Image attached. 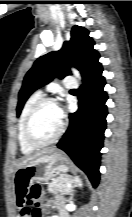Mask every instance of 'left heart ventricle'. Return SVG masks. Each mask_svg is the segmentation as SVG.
<instances>
[{
	"instance_id": "b2bd125f",
	"label": "left heart ventricle",
	"mask_w": 132,
	"mask_h": 217,
	"mask_svg": "<svg viewBox=\"0 0 132 217\" xmlns=\"http://www.w3.org/2000/svg\"><path fill=\"white\" fill-rule=\"evenodd\" d=\"M60 123L61 117L58 107L47 104L34 117L31 126L32 134L38 141H48L58 132Z\"/></svg>"
}]
</instances>
